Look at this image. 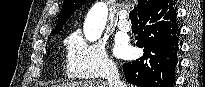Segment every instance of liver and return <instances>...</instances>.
<instances>
[{"instance_id": "6515ba94", "label": "liver", "mask_w": 205, "mask_h": 87, "mask_svg": "<svg viewBox=\"0 0 205 87\" xmlns=\"http://www.w3.org/2000/svg\"><path fill=\"white\" fill-rule=\"evenodd\" d=\"M55 87H108V83L102 81H80L63 83Z\"/></svg>"}]
</instances>
